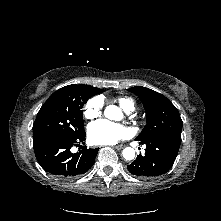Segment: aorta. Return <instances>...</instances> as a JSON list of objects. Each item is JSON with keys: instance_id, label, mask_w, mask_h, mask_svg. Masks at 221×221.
<instances>
[{"instance_id": "1", "label": "aorta", "mask_w": 221, "mask_h": 221, "mask_svg": "<svg viewBox=\"0 0 221 221\" xmlns=\"http://www.w3.org/2000/svg\"><path fill=\"white\" fill-rule=\"evenodd\" d=\"M114 108L113 105H110L108 106L106 109H105V115L108 116V114L110 113V111ZM122 155L123 157L126 159V160H132L134 159L135 157V150L131 147H126L123 152H122Z\"/></svg>"}]
</instances>
